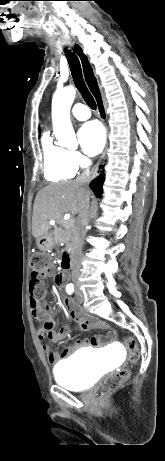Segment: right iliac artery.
Returning <instances> with one entry per match:
<instances>
[{
	"label": "right iliac artery",
	"mask_w": 165,
	"mask_h": 461,
	"mask_svg": "<svg viewBox=\"0 0 165 461\" xmlns=\"http://www.w3.org/2000/svg\"><path fill=\"white\" fill-rule=\"evenodd\" d=\"M73 290H74V286H73V285H68V286L66 287V291H67L68 294H71V293L73 292Z\"/></svg>",
	"instance_id": "right-iliac-artery-1"
}]
</instances>
